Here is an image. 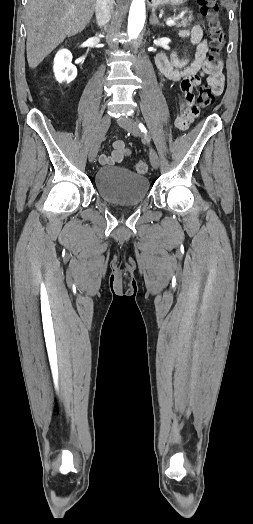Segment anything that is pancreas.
I'll return each mask as SVG.
<instances>
[{
  "label": "pancreas",
  "instance_id": "obj_1",
  "mask_svg": "<svg viewBox=\"0 0 253 524\" xmlns=\"http://www.w3.org/2000/svg\"><path fill=\"white\" fill-rule=\"evenodd\" d=\"M180 21L176 24L177 27H189L193 21V15L190 13L189 16L182 15L178 17Z\"/></svg>",
  "mask_w": 253,
  "mask_h": 524
}]
</instances>
